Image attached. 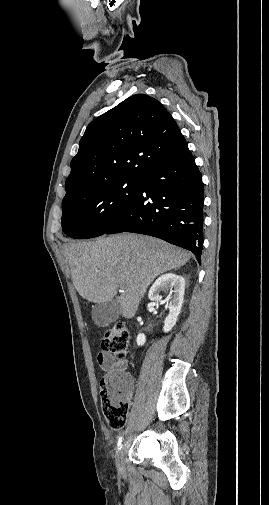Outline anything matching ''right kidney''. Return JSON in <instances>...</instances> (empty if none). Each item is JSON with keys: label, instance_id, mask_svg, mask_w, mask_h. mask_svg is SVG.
Masks as SVG:
<instances>
[{"label": "right kidney", "instance_id": "right-kidney-1", "mask_svg": "<svg viewBox=\"0 0 269 505\" xmlns=\"http://www.w3.org/2000/svg\"><path fill=\"white\" fill-rule=\"evenodd\" d=\"M185 280L182 276L174 273H167L161 275L151 286L148 297L151 301L160 302V292H169L167 298L169 314L164 321V332H169L176 325L178 315L180 314L181 307L184 299ZM137 345L142 346L146 342V337L143 333L138 334L136 339Z\"/></svg>", "mask_w": 269, "mask_h": 505}]
</instances>
